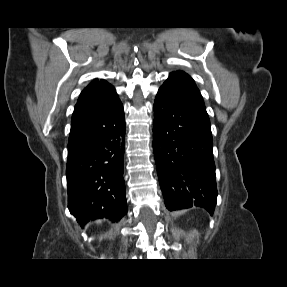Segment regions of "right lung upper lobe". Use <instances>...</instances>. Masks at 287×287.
Here are the masks:
<instances>
[{
  "instance_id": "1",
  "label": "right lung upper lobe",
  "mask_w": 287,
  "mask_h": 287,
  "mask_svg": "<svg viewBox=\"0 0 287 287\" xmlns=\"http://www.w3.org/2000/svg\"><path fill=\"white\" fill-rule=\"evenodd\" d=\"M118 99L115 88L111 84L96 79L80 94L72 118L101 111L111 106Z\"/></svg>"
}]
</instances>
